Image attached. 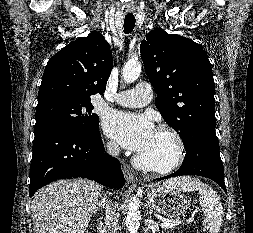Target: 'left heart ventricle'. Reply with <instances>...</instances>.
I'll return each mask as SVG.
<instances>
[{
  "mask_svg": "<svg viewBox=\"0 0 253 233\" xmlns=\"http://www.w3.org/2000/svg\"><path fill=\"white\" fill-rule=\"evenodd\" d=\"M175 153L173 140L167 134L155 130L148 145L138 156L148 162L166 164L174 158Z\"/></svg>",
  "mask_w": 253,
  "mask_h": 233,
  "instance_id": "left-heart-ventricle-1",
  "label": "left heart ventricle"
}]
</instances>
